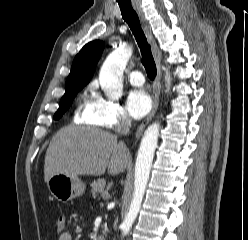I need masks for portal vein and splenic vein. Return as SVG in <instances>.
I'll use <instances>...</instances> for the list:
<instances>
[{
  "instance_id": "1",
  "label": "portal vein and splenic vein",
  "mask_w": 248,
  "mask_h": 240,
  "mask_svg": "<svg viewBox=\"0 0 248 240\" xmlns=\"http://www.w3.org/2000/svg\"><path fill=\"white\" fill-rule=\"evenodd\" d=\"M102 197H103V198H108V197H109L108 192H107V191L103 192V193H102Z\"/></svg>"
}]
</instances>
